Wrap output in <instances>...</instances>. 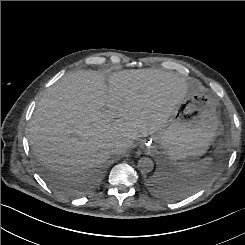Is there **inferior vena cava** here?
I'll return each mask as SVG.
<instances>
[{"instance_id":"1","label":"inferior vena cava","mask_w":245,"mask_h":245,"mask_svg":"<svg viewBox=\"0 0 245 245\" xmlns=\"http://www.w3.org/2000/svg\"><path fill=\"white\" fill-rule=\"evenodd\" d=\"M126 150V145L125 144H118L113 148V151L115 153H123Z\"/></svg>"}]
</instances>
